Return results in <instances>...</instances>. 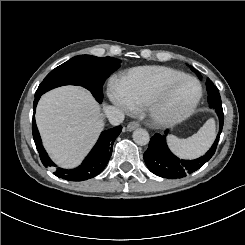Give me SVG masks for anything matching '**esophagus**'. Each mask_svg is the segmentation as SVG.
Segmentation results:
<instances>
[{"mask_svg":"<svg viewBox=\"0 0 245 245\" xmlns=\"http://www.w3.org/2000/svg\"><path fill=\"white\" fill-rule=\"evenodd\" d=\"M139 127V123L136 121H132L127 125V130L128 131H133L134 129Z\"/></svg>","mask_w":245,"mask_h":245,"instance_id":"esophagus-1","label":"esophagus"}]
</instances>
